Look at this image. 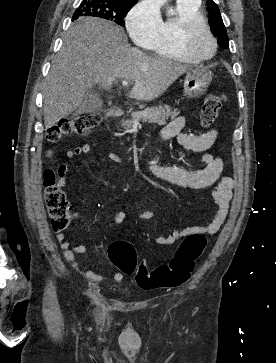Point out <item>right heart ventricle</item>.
Returning <instances> with one entry per match:
<instances>
[{
  "label": "right heart ventricle",
  "instance_id": "obj_1",
  "mask_svg": "<svg viewBox=\"0 0 276 363\" xmlns=\"http://www.w3.org/2000/svg\"><path fill=\"white\" fill-rule=\"evenodd\" d=\"M193 18L204 20L200 1L177 0L176 15L162 21L157 37L146 47L160 57L193 63L182 50L179 41L180 26Z\"/></svg>",
  "mask_w": 276,
  "mask_h": 363
}]
</instances>
